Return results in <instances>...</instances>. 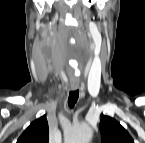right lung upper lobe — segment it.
<instances>
[{
	"instance_id": "obj_1",
	"label": "right lung upper lobe",
	"mask_w": 145,
	"mask_h": 143,
	"mask_svg": "<svg viewBox=\"0 0 145 143\" xmlns=\"http://www.w3.org/2000/svg\"><path fill=\"white\" fill-rule=\"evenodd\" d=\"M48 135V122L46 115H44L28 126L17 143H48Z\"/></svg>"
}]
</instances>
